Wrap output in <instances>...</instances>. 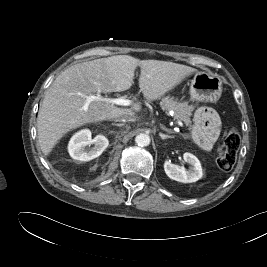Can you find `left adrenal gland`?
<instances>
[{"instance_id": "1", "label": "left adrenal gland", "mask_w": 267, "mask_h": 267, "mask_svg": "<svg viewBox=\"0 0 267 267\" xmlns=\"http://www.w3.org/2000/svg\"><path fill=\"white\" fill-rule=\"evenodd\" d=\"M161 128L166 131L167 133L171 134V133H174L172 130L170 129H167L165 126H161ZM159 136L161 137V139H167V138H174V136L172 135H165L163 133H159Z\"/></svg>"}]
</instances>
